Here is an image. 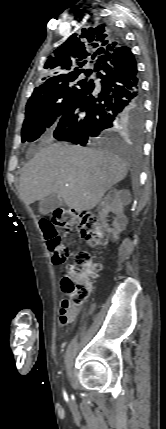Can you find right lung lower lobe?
Returning a JSON list of instances; mask_svg holds the SVG:
<instances>
[{"instance_id": "right-lung-lower-lobe-1", "label": "right lung lower lobe", "mask_w": 166, "mask_h": 429, "mask_svg": "<svg viewBox=\"0 0 166 429\" xmlns=\"http://www.w3.org/2000/svg\"><path fill=\"white\" fill-rule=\"evenodd\" d=\"M101 89L88 81L76 94L55 125L54 138L85 146L97 144L108 133L143 130L144 108L137 63L131 50L121 45L94 64Z\"/></svg>"}]
</instances>
